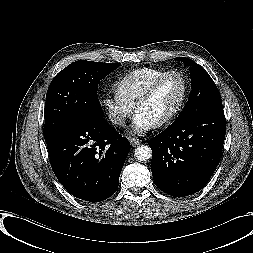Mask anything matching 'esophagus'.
I'll use <instances>...</instances> for the list:
<instances>
[{
  "label": "esophagus",
  "mask_w": 253,
  "mask_h": 253,
  "mask_svg": "<svg viewBox=\"0 0 253 253\" xmlns=\"http://www.w3.org/2000/svg\"><path fill=\"white\" fill-rule=\"evenodd\" d=\"M129 141H130L132 146H137V145L140 144V140L136 139V138L129 137Z\"/></svg>",
  "instance_id": "1"
}]
</instances>
